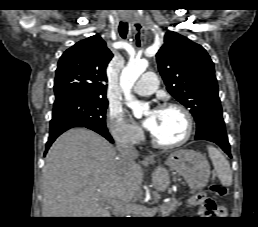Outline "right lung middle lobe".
I'll return each instance as SVG.
<instances>
[{
  "label": "right lung middle lobe",
  "mask_w": 258,
  "mask_h": 227,
  "mask_svg": "<svg viewBox=\"0 0 258 227\" xmlns=\"http://www.w3.org/2000/svg\"><path fill=\"white\" fill-rule=\"evenodd\" d=\"M106 98L79 93L56 95L52 119L64 118L77 121L84 126L105 130Z\"/></svg>",
  "instance_id": "obj_1"
}]
</instances>
